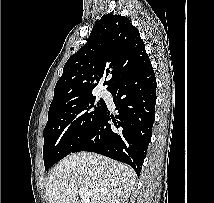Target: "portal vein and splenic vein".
Returning <instances> with one entry per match:
<instances>
[{
  "label": "portal vein and splenic vein",
  "instance_id": "1",
  "mask_svg": "<svg viewBox=\"0 0 214 203\" xmlns=\"http://www.w3.org/2000/svg\"><path fill=\"white\" fill-rule=\"evenodd\" d=\"M90 191H88L87 189L85 188H80L78 190V194L80 195V197L83 199V200H87L90 196Z\"/></svg>",
  "mask_w": 214,
  "mask_h": 203
}]
</instances>
